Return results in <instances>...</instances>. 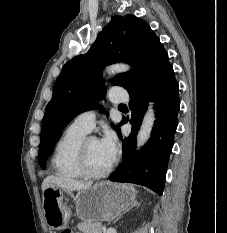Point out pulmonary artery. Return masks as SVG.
Returning <instances> with one entry per match:
<instances>
[{"instance_id": "1", "label": "pulmonary artery", "mask_w": 227, "mask_h": 233, "mask_svg": "<svg viewBox=\"0 0 227 233\" xmlns=\"http://www.w3.org/2000/svg\"><path fill=\"white\" fill-rule=\"evenodd\" d=\"M109 99L112 102H124L127 101V94L123 91L113 92ZM96 112L94 110H88L79 114L72 122L71 126L89 133L95 126Z\"/></svg>"}]
</instances>
